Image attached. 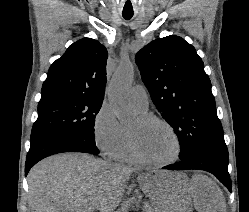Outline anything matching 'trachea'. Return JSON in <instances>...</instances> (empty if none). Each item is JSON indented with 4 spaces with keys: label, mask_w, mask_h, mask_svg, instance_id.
Returning <instances> with one entry per match:
<instances>
[{
    "label": "trachea",
    "mask_w": 249,
    "mask_h": 212,
    "mask_svg": "<svg viewBox=\"0 0 249 212\" xmlns=\"http://www.w3.org/2000/svg\"><path fill=\"white\" fill-rule=\"evenodd\" d=\"M122 15L125 20H130L133 17V13H123Z\"/></svg>",
    "instance_id": "trachea-1"
}]
</instances>
